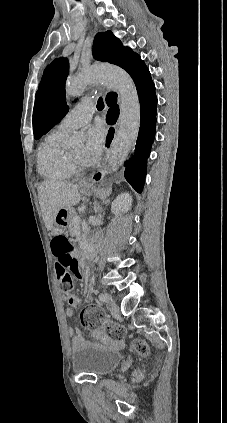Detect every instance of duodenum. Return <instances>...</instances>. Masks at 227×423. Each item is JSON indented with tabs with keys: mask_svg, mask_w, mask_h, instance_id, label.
Returning <instances> with one entry per match:
<instances>
[{
	"mask_svg": "<svg viewBox=\"0 0 227 423\" xmlns=\"http://www.w3.org/2000/svg\"><path fill=\"white\" fill-rule=\"evenodd\" d=\"M95 248H96V245L90 246L88 248H85L84 246H82V250L86 255H89Z\"/></svg>",
	"mask_w": 227,
	"mask_h": 423,
	"instance_id": "1",
	"label": "duodenum"
}]
</instances>
